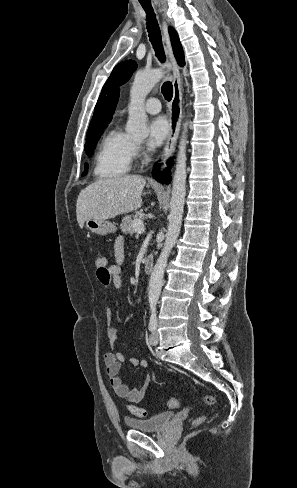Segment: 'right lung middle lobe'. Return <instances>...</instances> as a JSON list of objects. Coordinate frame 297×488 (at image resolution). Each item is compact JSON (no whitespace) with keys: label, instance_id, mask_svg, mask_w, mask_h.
<instances>
[{"label":"right lung middle lobe","instance_id":"right-lung-middle-lobe-1","mask_svg":"<svg viewBox=\"0 0 297 488\" xmlns=\"http://www.w3.org/2000/svg\"><path fill=\"white\" fill-rule=\"evenodd\" d=\"M107 124H104L98 128H96L91 134L86 136V143H85V152L88 155L93 154V150L95 149L96 142L99 140L100 136L103 134V131ZM88 165L85 164V171L83 175L87 173Z\"/></svg>","mask_w":297,"mask_h":488}]
</instances>
